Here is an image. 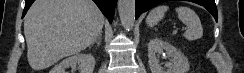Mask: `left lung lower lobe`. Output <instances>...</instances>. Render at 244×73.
I'll use <instances>...</instances> for the list:
<instances>
[{
  "mask_svg": "<svg viewBox=\"0 0 244 73\" xmlns=\"http://www.w3.org/2000/svg\"><path fill=\"white\" fill-rule=\"evenodd\" d=\"M167 0H136V19L147 10L155 7L156 5L163 3ZM191 2L204 6L217 21L218 13L215 5V0H192Z\"/></svg>",
  "mask_w": 244,
  "mask_h": 73,
  "instance_id": "1",
  "label": "left lung lower lobe"
}]
</instances>
